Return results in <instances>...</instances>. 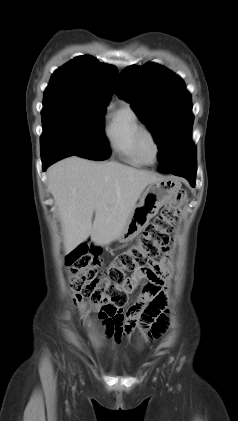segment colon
<instances>
[{
    "instance_id": "5ec220e1",
    "label": "colon",
    "mask_w": 238,
    "mask_h": 421,
    "mask_svg": "<svg viewBox=\"0 0 238 421\" xmlns=\"http://www.w3.org/2000/svg\"><path fill=\"white\" fill-rule=\"evenodd\" d=\"M186 197V190L179 191L137 241L106 267H102L95 247L80 245L68 255L71 288L77 299L85 297L101 305L100 317L104 322H109L114 311L126 304L127 293L134 288L132 274L148 267L167 250Z\"/></svg>"
}]
</instances>
